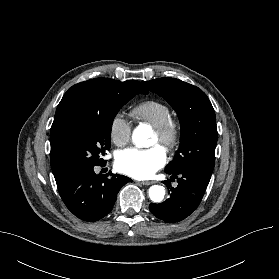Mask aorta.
<instances>
[{
  "instance_id": "762f6f07",
  "label": "aorta",
  "mask_w": 279,
  "mask_h": 279,
  "mask_svg": "<svg viewBox=\"0 0 279 279\" xmlns=\"http://www.w3.org/2000/svg\"><path fill=\"white\" fill-rule=\"evenodd\" d=\"M148 135L140 127L133 132L132 139L137 146H145ZM165 196V188L160 185H153L149 188V197L153 202H161Z\"/></svg>"
}]
</instances>
